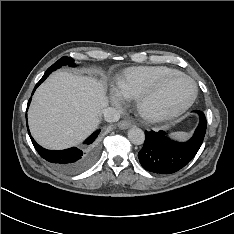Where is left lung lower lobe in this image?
<instances>
[{"mask_svg": "<svg viewBox=\"0 0 234 234\" xmlns=\"http://www.w3.org/2000/svg\"><path fill=\"white\" fill-rule=\"evenodd\" d=\"M194 112L199 115V124L187 142L171 140L164 131L145 132L144 146L138 153L143 168L154 173L171 174L192 160L202 145L207 127L204 113Z\"/></svg>", "mask_w": 234, "mask_h": 234, "instance_id": "left-lung-lower-lobe-1", "label": "left lung lower lobe"}]
</instances>
